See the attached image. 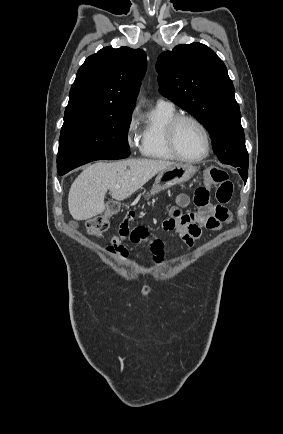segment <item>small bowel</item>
Instances as JSON below:
<instances>
[{
	"mask_svg": "<svg viewBox=\"0 0 283 434\" xmlns=\"http://www.w3.org/2000/svg\"><path fill=\"white\" fill-rule=\"evenodd\" d=\"M189 196L180 194L176 198V204L171 207L169 218L163 223L166 231L175 232L181 240L189 247L202 236V228L217 231L224 224L230 223L232 217L230 211L220 205H212L209 201V193L205 188H198L194 193L193 201L198 207L195 213H183L182 209L189 204ZM137 215L136 210H131L127 218L120 224L119 233L114 236L109 246V251L117 254L121 258L127 257V249L122 245L124 241L138 243L148 241L153 259L156 264H160L163 259V243L154 237L146 228H129V221Z\"/></svg>",
	"mask_w": 283,
	"mask_h": 434,
	"instance_id": "obj_1",
	"label": "small bowel"
}]
</instances>
